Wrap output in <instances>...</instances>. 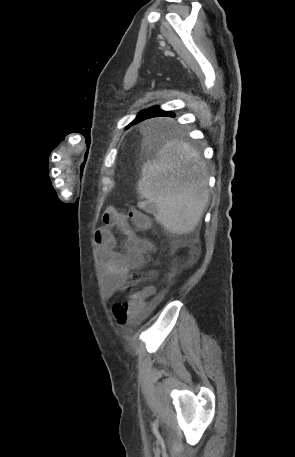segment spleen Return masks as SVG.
I'll return each mask as SVG.
<instances>
[{
	"label": "spleen",
	"instance_id": "spleen-1",
	"mask_svg": "<svg viewBox=\"0 0 295 457\" xmlns=\"http://www.w3.org/2000/svg\"><path fill=\"white\" fill-rule=\"evenodd\" d=\"M138 192L146 201L138 206L155 216L167 231L194 230L208 202L207 176L198 153L187 143L169 141L154 160L147 161Z\"/></svg>",
	"mask_w": 295,
	"mask_h": 457
}]
</instances>
